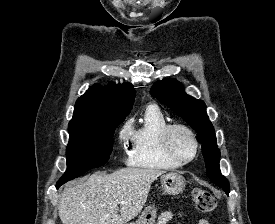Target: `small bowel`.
<instances>
[{
    "label": "small bowel",
    "instance_id": "small-bowel-1",
    "mask_svg": "<svg viewBox=\"0 0 275 224\" xmlns=\"http://www.w3.org/2000/svg\"><path fill=\"white\" fill-rule=\"evenodd\" d=\"M177 215L171 211H165L160 215L157 224H168ZM197 224H210V222L206 219H200Z\"/></svg>",
    "mask_w": 275,
    "mask_h": 224
}]
</instances>
